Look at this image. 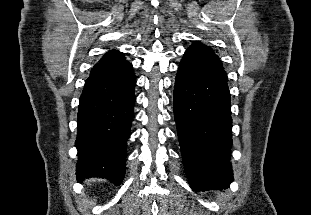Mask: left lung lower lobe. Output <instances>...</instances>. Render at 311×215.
Instances as JSON below:
<instances>
[{
    "mask_svg": "<svg viewBox=\"0 0 311 215\" xmlns=\"http://www.w3.org/2000/svg\"><path fill=\"white\" fill-rule=\"evenodd\" d=\"M174 117L183 164L193 191L229 187L232 118L227 74L213 50L194 42L174 87Z\"/></svg>",
    "mask_w": 311,
    "mask_h": 215,
    "instance_id": "obj_1",
    "label": "left lung lower lobe"
}]
</instances>
